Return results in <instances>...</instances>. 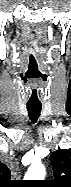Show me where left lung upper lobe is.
<instances>
[{
  "label": "left lung upper lobe",
  "mask_w": 71,
  "mask_h": 187,
  "mask_svg": "<svg viewBox=\"0 0 71 187\" xmlns=\"http://www.w3.org/2000/svg\"><path fill=\"white\" fill-rule=\"evenodd\" d=\"M50 159L55 180L46 183L54 187H71V149L53 152Z\"/></svg>",
  "instance_id": "5c2ea615"
}]
</instances>
